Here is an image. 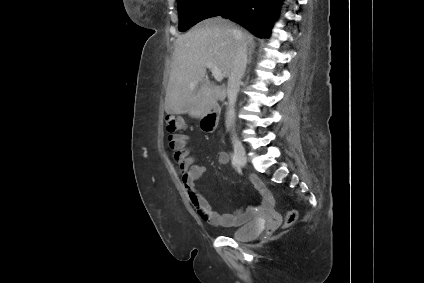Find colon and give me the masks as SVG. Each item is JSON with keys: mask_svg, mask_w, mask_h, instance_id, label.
<instances>
[{"mask_svg": "<svg viewBox=\"0 0 424 283\" xmlns=\"http://www.w3.org/2000/svg\"><path fill=\"white\" fill-rule=\"evenodd\" d=\"M164 120H165L166 129L171 133L178 131L184 126V122L182 118L178 115L167 114ZM296 219H297L296 211L291 210L287 212L285 217V222H284L285 226H289L293 224L296 221Z\"/></svg>", "mask_w": 424, "mask_h": 283, "instance_id": "obj_1", "label": "colon"}]
</instances>
